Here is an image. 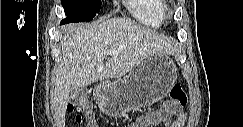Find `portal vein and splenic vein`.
<instances>
[{"instance_id": "18ae733b", "label": "portal vein and splenic vein", "mask_w": 243, "mask_h": 127, "mask_svg": "<svg viewBox=\"0 0 243 127\" xmlns=\"http://www.w3.org/2000/svg\"><path fill=\"white\" fill-rule=\"evenodd\" d=\"M113 52L112 51H107V54H112Z\"/></svg>"}]
</instances>
